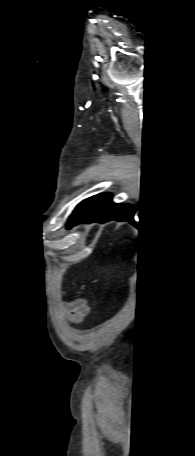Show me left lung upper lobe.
<instances>
[{
	"mask_svg": "<svg viewBox=\"0 0 195 456\" xmlns=\"http://www.w3.org/2000/svg\"><path fill=\"white\" fill-rule=\"evenodd\" d=\"M93 197H90L88 199H85L82 201L80 204L77 205L76 209L74 210V214L78 212L83 206H85Z\"/></svg>",
	"mask_w": 195,
	"mask_h": 456,
	"instance_id": "1",
	"label": "left lung upper lobe"
}]
</instances>
